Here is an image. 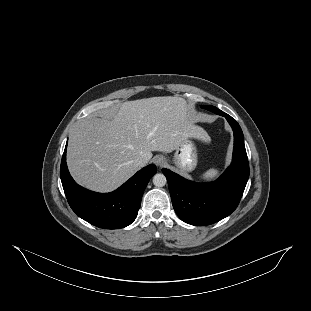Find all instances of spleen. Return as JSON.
<instances>
[{
	"mask_svg": "<svg viewBox=\"0 0 311 311\" xmlns=\"http://www.w3.org/2000/svg\"><path fill=\"white\" fill-rule=\"evenodd\" d=\"M216 174L214 170H211L207 173V177H213Z\"/></svg>",
	"mask_w": 311,
	"mask_h": 311,
	"instance_id": "obj_1",
	"label": "spleen"
}]
</instances>
